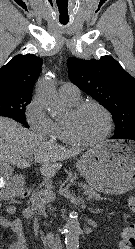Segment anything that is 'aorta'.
<instances>
[{
	"label": "aorta",
	"instance_id": "aorta-1",
	"mask_svg": "<svg viewBox=\"0 0 135 249\" xmlns=\"http://www.w3.org/2000/svg\"><path fill=\"white\" fill-rule=\"evenodd\" d=\"M37 99L50 110H57L60 107V96L55 88L53 79L42 78L36 90ZM80 225L78 216L70 214L65 225V244L66 249H79Z\"/></svg>",
	"mask_w": 135,
	"mask_h": 249
}]
</instances>
